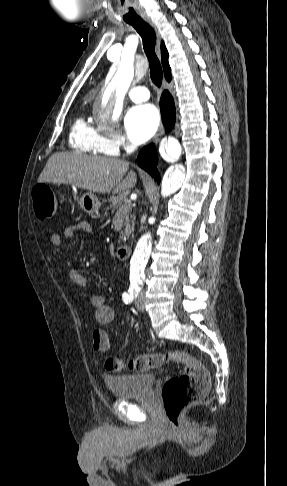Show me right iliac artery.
Listing matches in <instances>:
<instances>
[{
    "mask_svg": "<svg viewBox=\"0 0 287 486\" xmlns=\"http://www.w3.org/2000/svg\"><path fill=\"white\" fill-rule=\"evenodd\" d=\"M139 290H140V289H138L137 287H131V288L129 289V291H128L129 293H124V294H123V299H124L125 297H128V296H137V294H138ZM128 301L130 302V301H132V300H128ZM128 301H127V302H128Z\"/></svg>",
    "mask_w": 287,
    "mask_h": 486,
    "instance_id": "obj_1",
    "label": "right iliac artery"
}]
</instances>
